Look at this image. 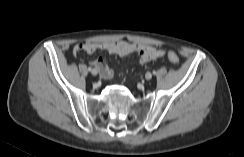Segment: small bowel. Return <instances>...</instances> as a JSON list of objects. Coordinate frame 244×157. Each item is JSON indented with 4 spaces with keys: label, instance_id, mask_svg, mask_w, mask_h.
Here are the masks:
<instances>
[{
    "label": "small bowel",
    "instance_id": "obj_1",
    "mask_svg": "<svg viewBox=\"0 0 244 157\" xmlns=\"http://www.w3.org/2000/svg\"><path fill=\"white\" fill-rule=\"evenodd\" d=\"M96 50H102L109 54L118 55L121 57L137 53L139 56L144 54L146 61H140L146 63L151 60H157L164 55V52L156 47L143 45L138 43H129L124 40H118L113 42H84L77 44L74 47V54L84 51L87 53H93ZM100 72V75L104 79H109L113 75V70L106 64L103 58H96L91 62Z\"/></svg>",
    "mask_w": 244,
    "mask_h": 157
}]
</instances>
